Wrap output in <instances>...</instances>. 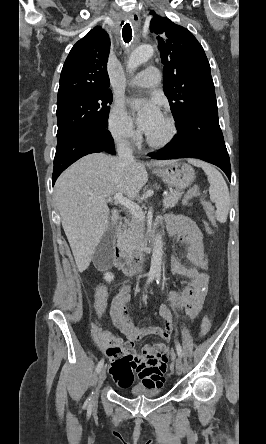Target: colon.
<instances>
[{"instance_id":"obj_1","label":"colon","mask_w":266,"mask_h":444,"mask_svg":"<svg viewBox=\"0 0 266 444\" xmlns=\"http://www.w3.org/2000/svg\"><path fill=\"white\" fill-rule=\"evenodd\" d=\"M200 194H201L200 188L197 186H194L188 190V192L185 195L184 200L186 203H188L193 198L199 196ZM202 204H203L204 210L207 214V217L209 219V223H207V229L211 234H213L214 229L217 227V224H216V221H215V218L213 215V207L210 204V202H208L207 200H203ZM116 297L113 299L112 303L115 301ZM210 326H211V317L209 315H205L202 322H201V325L199 327L197 336L199 338L205 336L207 334V332L209 331ZM173 356H174V353L172 352V357Z\"/></svg>"}]
</instances>
